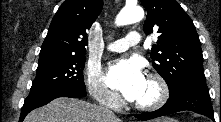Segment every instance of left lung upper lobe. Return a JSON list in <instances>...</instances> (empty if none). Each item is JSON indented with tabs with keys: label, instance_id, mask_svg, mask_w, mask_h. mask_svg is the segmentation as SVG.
Returning <instances> with one entry per match:
<instances>
[{
	"label": "left lung upper lobe",
	"instance_id": "left-lung-upper-lobe-1",
	"mask_svg": "<svg viewBox=\"0 0 221 122\" xmlns=\"http://www.w3.org/2000/svg\"><path fill=\"white\" fill-rule=\"evenodd\" d=\"M147 9L146 34L160 33L151 49L153 66L169 92L187 83H206L199 36L190 17L175 0H141Z\"/></svg>",
	"mask_w": 221,
	"mask_h": 122
}]
</instances>
